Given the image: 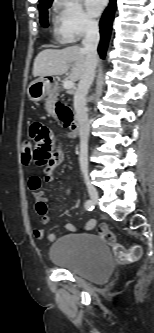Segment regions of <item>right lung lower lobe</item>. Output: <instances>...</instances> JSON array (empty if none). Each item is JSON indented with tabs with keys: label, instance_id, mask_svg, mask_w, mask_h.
Masks as SVG:
<instances>
[{
	"label": "right lung lower lobe",
	"instance_id": "obj_1",
	"mask_svg": "<svg viewBox=\"0 0 154 333\" xmlns=\"http://www.w3.org/2000/svg\"><path fill=\"white\" fill-rule=\"evenodd\" d=\"M116 7V0H110L108 7L106 8L105 12L102 15L100 20V35L101 40L98 46V53L100 54L101 58L105 57L106 49L108 46V41L111 34V26L112 21L114 18V9Z\"/></svg>",
	"mask_w": 154,
	"mask_h": 333
}]
</instances>
